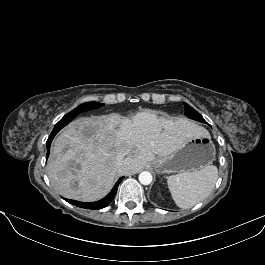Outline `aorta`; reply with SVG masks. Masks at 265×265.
I'll return each mask as SVG.
<instances>
[{"instance_id": "1", "label": "aorta", "mask_w": 265, "mask_h": 265, "mask_svg": "<svg viewBox=\"0 0 265 265\" xmlns=\"http://www.w3.org/2000/svg\"><path fill=\"white\" fill-rule=\"evenodd\" d=\"M152 179V174L148 171H143L139 174V182L143 185H149Z\"/></svg>"}]
</instances>
